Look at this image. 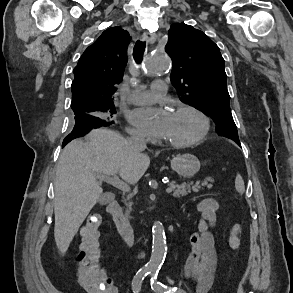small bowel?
<instances>
[{
  "label": "small bowel",
  "mask_w": 293,
  "mask_h": 293,
  "mask_svg": "<svg viewBox=\"0 0 293 293\" xmlns=\"http://www.w3.org/2000/svg\"><path fill=\"white\" fill-rule=\"evenodd\" d=\"M217 209L218 203L211 197L204 198L197 204L201 218L197 230L190 236L191 252L184 266L185 274L197 282L196 293H207L213 284L217 262L213 228L217 220ZM114 289L117 293L115 286Z\"/></svg>",
  "instance_id": "small-bowel-1"
}]
</instances>
